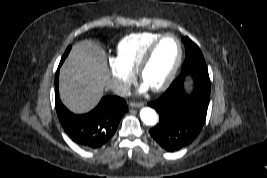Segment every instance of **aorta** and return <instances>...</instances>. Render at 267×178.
<instances>
[{"mask_svg": "<svg viewBox=\"0 0 267 178\" xmlns=\"http://www.w3.org/2000/svg\"><path fill=\"white\" fill-rule=\"evenodd\" d=\"M140 118L146 125H155L158 121L157 113L149 107L140 110Z\"/></svg>", "mask_w": 267, "mask_h": 178, "instance_id": "obj_1", "label": "aorta"}]
</instances>
